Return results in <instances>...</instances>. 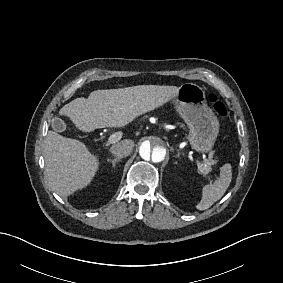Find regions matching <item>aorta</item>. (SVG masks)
I'll use <instances>...</instances> for the list:
<instances>
[{
  "instance_id": "obj_1",
  "label": "aorta",
  "mask_w": 283,
  "mask_h": 283,
  "mask_svg": "<svg viewBox=\"0 0 283 283\" xmlns=\"http://www.w3.org/2000/svg\"><path fill=\"white\" fill-rule=\"evenodd\" d=\"M168 145L159 135H147L139 144V155L145 166H157L165 163L168 158Z\"/></svg>"
}]
</instances>
